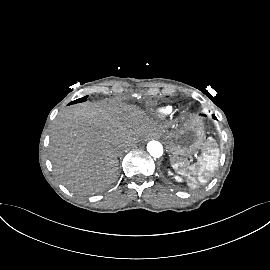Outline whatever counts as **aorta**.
Here are the masks:
<instances>
[{"label": "aorta", "mask_w": 270, "mask_h": 270, "mask_svg": "<svg viewBox=\"0 0 270 270\" xmlns=\"http://www.w3.org/2000/svg\"><path fill=\"white\" fill-rule=\"evenodd\" d=\"M147 151L154 158H159L163 154V146L160 142L153 140L147 144Z\"/></svg>", "instance_id": "aorta-1"}]
</instances>
